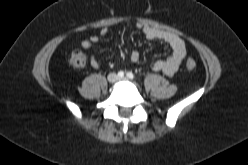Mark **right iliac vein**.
<instances>
[{
	"label": "right iliac vein",
	"mask_w": 248,
	"mask_h": 165,
	"mask_svg": "<svg viewBox=\"0 0 248 165\" xmlns=\"http://www.w3.org/2000/svg\"><path fill=\"white\" fill-rule=\"evenodd\" d=\"M118 79L117 75L115 73H111L108 75V81L111 83L116 82Z\"/></svg>",
	"instance_id": "right-iliac-vein-1"
}]
</instances>
